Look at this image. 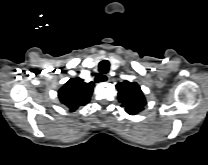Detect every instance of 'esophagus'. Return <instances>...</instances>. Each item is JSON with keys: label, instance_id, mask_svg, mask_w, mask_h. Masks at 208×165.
I'll use <instances>...</instances> for the list:
<instances>
[{"label": "esophagus", "instance_id": "34e87169", "mask_svg": "<svg viewBox=\"0 0 208 165\" xmlns=\"http://www.w3.org/2000/svg\"><path fill=\"white\" fill-rule=\"evenodd\" d=\"M98 80L99 81H107V82H109L110 81V76L109 75H103L101 77H98Z\"/></svg>", "mask_w": 208, "mask_h": 165}]
</instances>
